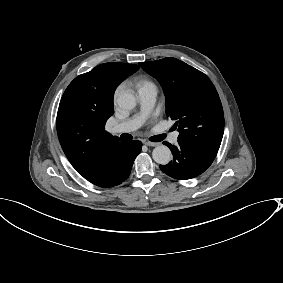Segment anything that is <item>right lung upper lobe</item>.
<instances>
[{
    "label": "right lung upper lobe",
    "mask_w": 283,
    "mask_h": 283,
    "mask_svg": "<svg viewBox=\"0 0 283 283\" xmlns=\"http://www.w3.org/2000/svg\"><path fill=\"white\" fill-rule=\"evenodd\" d=\"M138 69L135 64L104 63L76 77L65 90L57 113V133L66 157L83 177L127 142L112 137L105 124L114 113L116 87Z\"/></svg>",
    "instance_id": "cb5924a9"
}]
</instances>
